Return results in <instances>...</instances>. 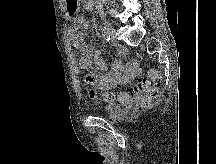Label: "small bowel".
I'll return each instance as SVG.
<instances>
[{
    "mask_svg": "<svg viewBox=\"0 0 216 164\" xmlns=\"http://www.w3.org/2000/svg\"><path fill=\"white\" fill-rule=\"evenodd\" d=\"M79 27L82 31L79 30ZM87 28L88 22L85 17L81 16L72 19V26L69 29L71 44L79 49V67L89 70L85 77L87 85L96 86L101 90H109L137 76L139 68L136 62L114 61L108 66L100 52H94L90 45L84 44V31ZM91 87L88 89L89 97L97 99L96 93ZM116 107L117 105H109L108 109L113 110Z\"/></svg>",
    "mask_w": 216,
    "mask_h": 164,
    "instance_id": "obj_1",
    "label": "small bowel"
}]
</instances>
